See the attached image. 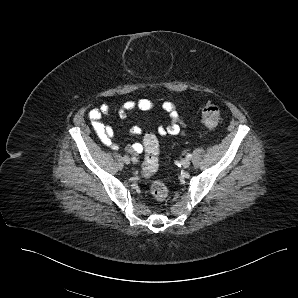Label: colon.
Returning a JSON list of instances; mask_svg holds the SVG:
<instances>
[{"instance_id":"colon-1","label":"colon","mask_w":298,"mask_h":298,"mask_svg":"<svg viewBox=\"0 0 298 298\" xmlns=\"http://www.w3.org/2000/svg\"><path fill=\"white\" fill-rule=\"evenodd\" d=\"M200 119L207 128L216 127L221 121L220 109L212 103L204 104L200 109ZM145 150L144 160L141 165V173L144 177L152 176L159 168V141L155 134L147 133L143 139ZM150 192L157 201H163L168 190L164 183L154 182L151 184Z\"/></svg>"}]
</instances>
